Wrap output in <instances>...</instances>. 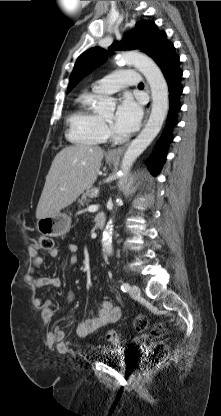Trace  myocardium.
Wrapping results in <instances>:
<instances>
[{
  "instance_id": "obj_1",
  "label": "myocardium",
  "mask_w": 221,
  "mask_h": 416,
  "mask_svg": "<svg viewBox=\"0 0 221 416\" xmlns=\"http://www.w3.org/2000/svg\"><path fill=\"white\" fill-rule=\"evenodd\" d=\"M105 123L107 124V126L109 127V134L113 139H119V137L117 135L114 134V132L112 131V129L110 128V123L108 121H105Z\"/></svg>"
}]
</instances>
